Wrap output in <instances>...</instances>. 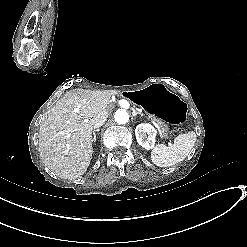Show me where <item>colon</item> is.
<instances>
[{
	"mask_svg": "<svg viewBox=\"0 0 247 247\" xmlns=\"http://www.w3.org/2000/svg\"><path fill=\"white\" fill-rule=\"evenodd\" d=\"M177 129H173L172 131H171V135L173 136V135H176L177 134Z\"/></svg>",
	"mask_w": 247,
	"mask_h": 247,
	"instance_id": "colon-1",
	"label": "colon"
}]
</instances>
